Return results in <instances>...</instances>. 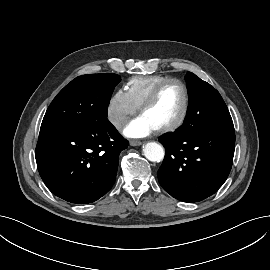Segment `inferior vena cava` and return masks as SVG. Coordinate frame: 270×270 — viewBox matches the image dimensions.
I'll return each instance as SVG.
<instances>
[{"mask_svg":"<svg viewBox=\"0 0 270 270\" xmlns=\"http://www.w3.org/2000/svg\"><path fill=\"white\" fill-rule=\"evenodd\" d=\"M124 123V120H122V122L120 123V125H122Z\"/></svg>","mask_w":270,"mask_h":270,"instance_id":"inferior-vena-cava-1","label":"inferior vena cava"}]
</instances>
